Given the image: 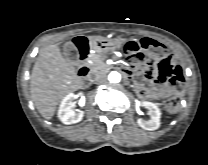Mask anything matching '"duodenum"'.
<instances>
[{"mask_svg": "<svg viewBox=\"0 0 208 165\" xmlns=\"http://www.w3.org/2000/svg\"><path fill=\"white\" fill-rule=\"evenodd\" d=\"M89 52V47H85L84 52L81 53V57L78 59L77 62V73L80 78V80L87 84L90 81V69L87 65V53ZM113 67V66H110ZM118 70L121 71V73L126 77L129 78L131 76V72L129 69L123 67L122 65H114Z\"/></svg>", "mask_w": 208, "mask_h": 165, "instance_id": "obj_1", "label": "duodenum"}]
</instances>
